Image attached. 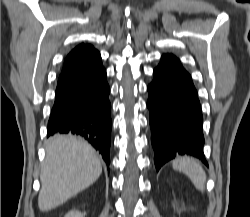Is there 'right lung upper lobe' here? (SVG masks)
<instances>
[{
  "mask_svg": "<svg viewBox=\"0 0 250 217\" xmlns=\"http://www.w3.org/2000/svg\"><path fill=\"white\" fill-rule=\"evenodd\" d=\"M98 54L99 52L93 46L80 44L66 57L60 76L81 68Z\"/></svg>",
  "mask_w": 250,
  "mask_h": 217,
  "instance_id": "right-lung-upper-lobe-1",
  "label": "right lung upper lobe"
}]
</instances>
